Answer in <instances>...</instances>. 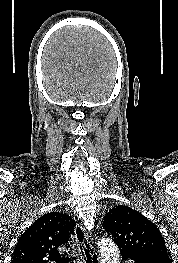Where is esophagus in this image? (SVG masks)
I'll use <instances>...</instances> for the list:
<instances>
[{
    "instance_id": "obj_1",
    "label": "esophagus",
    "mask_w": 178,
    "mask_h": 263,
    "mask_svg": "<svg viewBox=\"0 0 178 263\" xmlns=\"http://www.w3.org/2000/svg\"><path fill=\"white\" fill-rule=\"evenodd\" d=\"M75 239L79 250L82 245H84L88 251V253H85V251L80 250V263H100L98 253L90 244L88 240V233L81 223L76 226Z\"/></svg>"
}]
</instances>
